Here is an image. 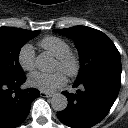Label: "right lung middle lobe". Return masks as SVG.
Wrapping results in <instances>:
<instances>
[{"mask_svg": "<svg viewBox=\"0 0 128 128\" xmlns=\"http://www.w3.org/2000/svg\"><path fill=\"white\" fill-rule=\"evenodd\" d=\"M39 33L40 30L0 27V79H15L24 74L18 62L20 49Z\"/></svg>", "mask_w": 128, "mask_h": 128, "instance_id": "dd1d6c3e", "label": "right lung middle lobe"}]
</instances>
